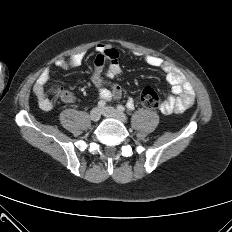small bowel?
Wrapping results in <instances>:
<instances>
[{
	"label": "small bowel",
	"instance_id": "1",
	"mask_svg": "<svg viewBox=\"0 0 232 232\" xmlns=\"http://www.w3.org/2000/svg\"><path fill=\"white\" fill-rule=\"evenodd\" d=\"M95 50L97 54L90 74V81L98 88L100 97L104 101L118 100L123 95L122 88L110 81L121 73L119 54L117 50L105 43L97 44ZM136 56L141 57L147 66L162 71L171 86L172 94L162 102L160 107L161 113H182L194 103L195 93L193 86L177 67L152 54L136 53ZM84 58L85 53L78 52L68 59L57 60L55 65L61 70H70L79 67L83 63ZM49 77V71H43L33 87L38 105L44 111H50L53 108V102L45 92V85ZM60 99L64 103H73L75 95L73 92L66 90L60 95ZM127 104H133V100L129 99Z\"/></svg>",
	"mask_w": 232,
	"mask_h": 232
}]
</instances>
